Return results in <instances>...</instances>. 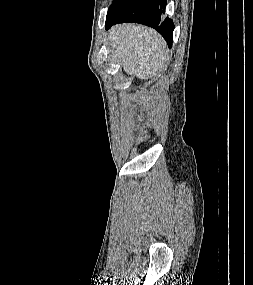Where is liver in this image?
Segmentation results:
<instances>
[{
  "label": "liver",
  "instance_id": "1",
  "mask_svg": "<svg viewBox=\"0 0 253 285\" xmlns=\"http://www.w3.org/2000/svg\"><path fill=\"white\" fill-rule=\"evenodd\" d=\"M109 42L124 71L139 79H147L161 69L167 57L164 39L143 25H117L109 31Z\"/></svg>",
  "mask_w": 253,
  "mask_h": 285
}]
</instances>
